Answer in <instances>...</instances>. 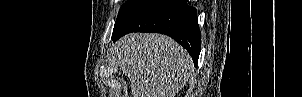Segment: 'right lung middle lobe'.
<instances>
[{
	"mask_svg": "<svg viewBox=\"0 0 302 97\" xmlns=\"http://www.w3.org/2000/svg\"><path fill=\"white\" fill-rule=\"evenodd\" d=\"M144 2L145 0H128L126 3H124L119 10L114 31L118 30L124 21L130 17Z\"/></svg>",
	"mask_w": 302,
	"mask_h": 97,
	"instance_id": "1",
	"label": "right lung middle lobe"
}]
</instances>
